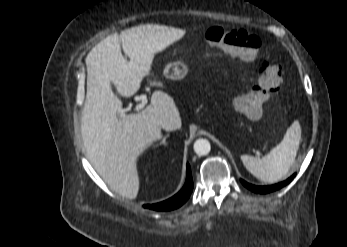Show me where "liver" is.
Returning <instances> with one entry per match:
<instances>
[{
    "label": "liver",
    "mask_w": 347,
    "mask_h": 247,
    "mask_svg": "<svg viewBox=\"0 0 347 247\" xmlns=\"http://www.w3.org/2000/svg\"><path fill=\"white\" fill-rule=\"evenodd\" d=\"M184 30L140 25L107 36L86 57L87 93L81 117V133L87 157L103 180L117 193L136 198L139 191L138 157L162 138L160 121L175 120L181 127L179 111L172 97L162 91L152 94L150 105L138 113L118 118L123 97H131L150 75L154 54L184 35ZM130 58L127 61L121 52ZM150 85L163 86L156 80Z\"/></svg>",
    "instance_id": "1"
}]
</instances>
